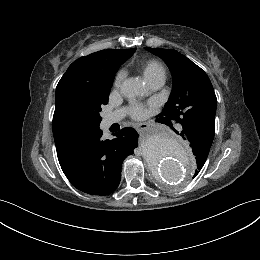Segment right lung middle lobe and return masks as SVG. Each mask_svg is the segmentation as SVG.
Listing matches in <instances>:
<instances>
[{
  "label": "right lung middle lobe",
  "instance_id": "obj_1",
  "mask_svg": "<svg viewBox=\"0 0 260 260\" xmlns=\"http://www.w3.org/2000/svg\"><path fill=\"white\" fill-rule=\"evenodd\" d=\"M126 60L88 77H68L59 81L53 122L60 133L67 136L99 127L101 107L108 103L115 73Z\"/></svg>",
  "mask_w": 260,
  "mask_h": 260
}]
</instances>
